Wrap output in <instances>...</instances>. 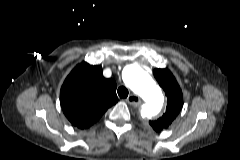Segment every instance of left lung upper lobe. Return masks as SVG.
Segmentation results:
<instances>
[{
	"label": "left lung upper lobe",
	"mask_w": 240,
	"mask_h": 160,
	"mask_svg": "<svg viewBox=\"0 0 240 160\" xmlns=\"http://www.w3.org/2000/svg\"><path fill=\"white\" fill-rule=\"evenodd\" d=\"M154 76L167 96L166 112L157 120L149 121L153 129L156 132H160L168 128L180 113L183 104V95L175 77L168 69H155Z\"/></svg>",
	"instance_id": "left-lung-upper-lobe-1"
}]
</instances>
